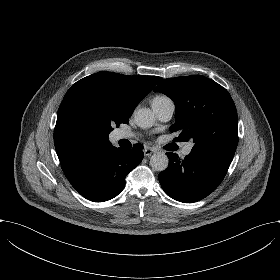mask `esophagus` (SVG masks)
<instances>
[{
	"label": "esophagus",
	"mask_w": 280,
	"mask_h": 280,
	"mask_svg": "<svg viewBox=\"0 0 280 280\" xmlns=\"http://www.w3.org/2000/svg\"><path fill=\"white\" fill-rule=\"evenodd\" d=\"M143 152H144V155L146 157H149V156H151L155 152V149H153L151 147H147V148L144 149Z\"/></svg>",
	"instance_id": "1"
}]
</instances>
